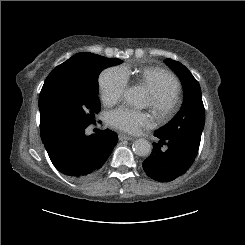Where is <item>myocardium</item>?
Returning <instances> with one entry per match:
<instances>
[{
    "label": "myocardium",
    "instance_id": "myocardium-1",
    "mask_svg": "<svg viewBox=\"0 0 245 245\" xmlns=\"http://www.w3.org/2000/svg\"><path fill=\"white\" fill-rule=\"evenodd\" d=\"M178 95L168 85L150 91L149 106L159 119H167L175 112Z\"/></svg>",
    "mask_w": 245,
    "mask_h": 245
}]
</instances>
